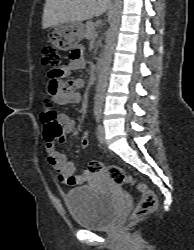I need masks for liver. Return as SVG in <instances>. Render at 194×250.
Returning <instances> with one entry per match:
<instances>
[{"label": "liver", "instance_id": "obj_1", "mask_svg": "<svg viewBox=\"0 0 194 250\" xmlns=\"http://www.w3.org/2000/svg\"><path fill=\"white\" fill-rule=\"evenodd\" d=\"M110 0H46L42 28L65 22H81L103 15Z\"/></svg>", "mask_w": 194, "mask_h": 250}]
</instances>
